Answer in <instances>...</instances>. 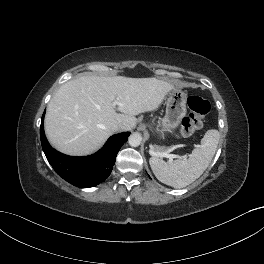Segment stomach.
Returning a JSON list of instances; mask_svg holds the SVG:
<instances>
[{"mask_svg": "<svg viewBox=\"0 0 264 264\" xmlns=\"http://www.w3.org/2000/svg\"><path fill=\"white\" fill-rule=\"evenodd\" d=\"M187 95L180 89H173L167 99L166 114L164 118L157 123L156 130L160 137L176 129L186 115Z\"/></svg>", "mask_w": 264, "mask_h": 264, "instance_id": "obj_1", "label": "stomach"}]
</instances>
